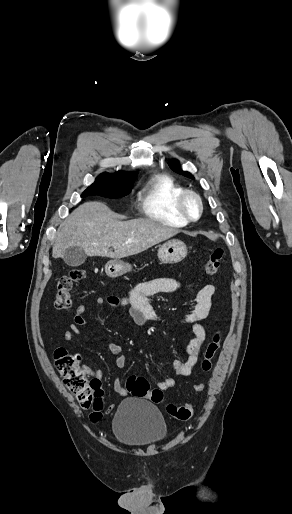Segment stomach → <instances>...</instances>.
<instances>
[{"label":"stomach","instance_id":"obj_1","mask_svg":"<svg viewBox=\"0 0 292 514\" xmlns=\"http://www.w3.org/2000/svg\"><path fill=\"white\" fill-rule=\"evenodd\" d=\"M186 256L187 248L184 242H180V240H169L158 250V258L162 264H178ZM131 270V264H126V262H122L119 258L110 260V262L105 264V272L109 278H118V276H123L126 272H131Z\"/></svg>","mask_w":292,"mask_h":514}]
</instances>
